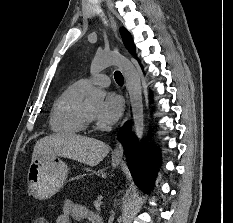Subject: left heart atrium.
<instances>
[{"label": "left heart atrium", "instance_id": "39dd6f15", "mask_svg": "<svg viewBox=\"0 0 233 223\" xmlns=\"http://www.w3.org/2000/svg\"><path fill=\"white\" fill-rule=\"evenodd\" d=\"M123 109L124 105L122 99L111 93L100 105L97 111V118L102 123L113 124L120 119L123 114Z\"/></svg>", "mask_w": 233, "mask_h": 223}]
</instances>
